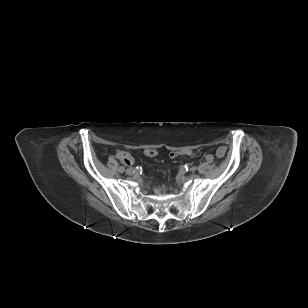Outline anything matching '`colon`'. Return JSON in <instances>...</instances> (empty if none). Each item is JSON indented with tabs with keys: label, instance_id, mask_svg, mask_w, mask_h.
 <instances>
[{
	"label": "colon",
	"instance_id": "5ec220e1",
	"mask_svg": "<svg viewBox=\"0 0 308 308\" xmlns=\"http://www.w3.org/2000/svg\"><path fill=\"white\" fill-rule=\"evenodd\" d=\"M143 153L146 156H149V157H154V156L157 155V151L154 150V149H145L143 151ZM184 154L193 155L194 153L189 151V152H184ZM175 155H176V153L173 154V156H175ZM116 156H117L118 159H120L121 161H123L124 163H127V164H129L132 160L131 155L128 152H125V151H118Z\"/></svg>",
	"mask_w": 308,
	"mask_h": 308
}]
</instances>
